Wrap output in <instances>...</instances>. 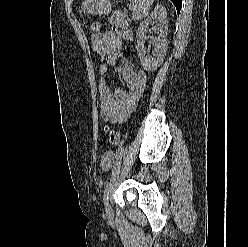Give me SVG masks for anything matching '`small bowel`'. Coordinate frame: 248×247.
<instances>
[{"mask_svg":"<svg viewBox=\"0 0 248 247\" xmlns=\"http://www.w3.org/2000/svg\"><path fill=\"white\" fill-rule=\"evenodd\" d=\"M130 40L132 35L128 31L116 29L105 31L102 34H95L92 37V49L96 53L98 61L99 94L101 100V116L107 123L125 121L137 102L131 98V87L136 78V71L132 64L126 63L120 73L129 91L123 89H112L109 86L108 75L110 66H114L122 56V40ZM108 143L111 145L119 142L120 136L117 132L107 129ZM114 160V153L107 151L101 158V167L104 170L111 168Z\"/></svg>","mask_w":248,"mask_h":247,"instance_id":"c3829d8e","label":"small bowel"}]
</instances>
